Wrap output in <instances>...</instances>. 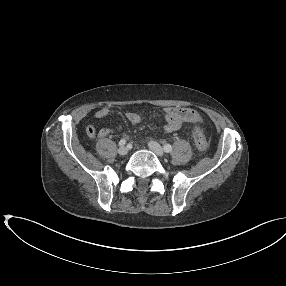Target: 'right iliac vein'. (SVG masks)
I'll return each mask as SVG.
<instances>
[{"instance_id":"right-iliac-vein-1","label":"right iliac vein","mask_w":286,"mask_h":286,"mask_svg":"<svg viewBox=\"0 0 286 286\" xmlns=\"http://www.w3.org/2000/svg\"><path fill=\"white\" fill-rule=\"evenodd\" d=\"M118 153H119V155H121V156H125V155L128 153L127 147L121 146V147L118 149Z\"/></svg>"}]
</instances>
